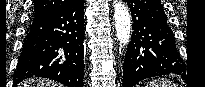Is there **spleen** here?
I'll list each match as a JSON object with an SVG mask.
<instances>
[{
	"instance_id": "obj_1",
	"label": "spleen",
	"mask_w": 205,
	"mask_h": 87,
	"mask_svg": "<svg viewBox=\"0 0 205 87\" xmlns=\"http://www.w3.org/2000/svg\"><path fill=\"white\" fill-rule=\"evenodd\" d=\"M146 87H178L170 80H154L150 82Z\"/></svg>"
}]
</instances>
